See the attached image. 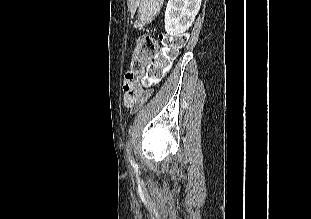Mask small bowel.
<instances>
[{"mask_svg":"<svg viewBox=\"0 0 311 219\" xmlns=\"http://www.w3.org/2000/svg\"><path fill=\"white\" fill-rule=\"evenodd\" d=\"M138 75L133 72H127L123 81V102L131 111L137 110L152 95L153 85L156 82L149 83L147 88H141L137 84Z\"/></svg>","mask_w":311,"mask_h":219,"instance_id":"1","label":"small bowel"}]
</instances>
